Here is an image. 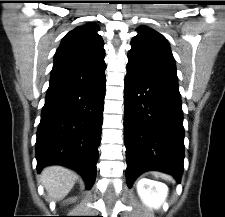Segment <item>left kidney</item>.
Segmentation results:
<instances>
[{
    "instance_id": "5707ae66",
    "label": "left kidney",
    "mask_w": 225,
    "mask_h": 217,
    "mask_svg": "<svg viewBox=\"0 0 225 217\" xmlns=\"http://www.w3.org/2000/svg\"><path fill=\"white\" fill-rule=\"evenodd\" d=\"M141 200L150 208L158 209L168 194V187L162 182L141 178L137 184Z\"/></svg>"
}]
</instances>
